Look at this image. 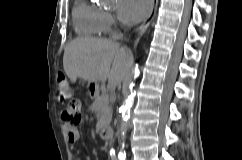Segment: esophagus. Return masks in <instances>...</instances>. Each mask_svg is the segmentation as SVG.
<instances>
[{"mask_svg":"<svg viewBox=\"0 0 242 160\" xmlns=\"http://www.w3.org/2000/svg\"><path fill=\"white\" fill-rule=\"evenodd\" d=\"M157 6H158V0H152L150 12H149L148 16L146 17V19L144 20V22L136 30V36L143 34L147 30L148 26L150 25V23L152 22V20L155 16Z\"/></svg>","mask_w":242,"mask_h":160,"instance_id":"34e87169","label":"esophagus"}]
</instances>
